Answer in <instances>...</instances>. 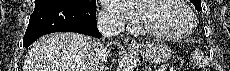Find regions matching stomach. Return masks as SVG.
Listing matches in <instances>:
<instances>
[{
  "label": "stomach",
  "mask_w": 230,
  "mask_h": 71,
  "mask_svg": "<svg viewBox=\"0 0 230 71\" xmlns=\"http://www.w3.org/2000/svg\"><path fill=\"white\" fill-rule=\"evenodd\" d=\"M140 53L146 61L154 64L167 62L172 55L170 48L164 44H149Z\"/></svg>",
  "instance_id": "1"
}]
</instances>
